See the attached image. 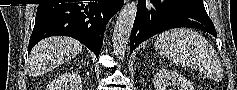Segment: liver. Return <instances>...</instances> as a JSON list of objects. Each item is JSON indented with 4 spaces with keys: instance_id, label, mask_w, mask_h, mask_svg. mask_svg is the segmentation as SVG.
Instances as JSON below:
<instances>
[{
    "instance_id": "6515ba94",
    "label": "liver",
    "mask_w": 237,
    "mask_h": 90,
    "mask_svg": "<svg viewBox=\"0 0 237 90\" xmlns=\"http://www.w3.org/2000/svg\"><path fill=\"white\" fill-rule=\"evenodd\" d=\"M82 48L83 44L73 38L65 36L45 38L31 50L29 68L33 74L50 72L52 68L76 58L82 52Z\"/></svg>"
}]
</instances>
